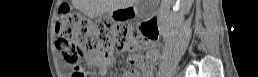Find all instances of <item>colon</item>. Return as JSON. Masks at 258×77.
Instances as JSON below:
<instances>
[{
	"label": "colon",
	"instance_id": "colon-1",
	"mask_svg": "<svg viewBox=\"0 0 258 77\" xmlns=\"http://www.w3.org/2000/svg\"><path fill=\"white\" fill-rule=\"evenodd\" d=\"M56 34L58 46L66 61L73 66L74 77H82L84 67L80 63L83 50H96L111 47L115 50L129 49L135 56L129 58L130 65L143 66V52L149 47L156 29L145 27L132 29L124 22L101 20L96 23L85 20L69 7L60 6L57 10ZM136 70L130 69L129 72Z\"/></svg>",
	"mask_w": 258,
	"mask_h": 77
}]
</instances>
